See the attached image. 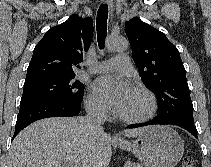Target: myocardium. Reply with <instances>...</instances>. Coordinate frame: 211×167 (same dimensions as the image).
I'll return each mask as SVG.
<instances>
[{"label":"myocardium","instance_id":"1","mask_svg":"<svg viewBox=\"0 0 211 167\" xmlns=\"http://www.w3.org/2000/svg\"><path fill=\"white\" fill-rule=\"evenodd\" d=\"M132 90L133 92L138 93L145 97L147 101V105H148L147 112L144 115L138 116V117H128V116H124L120 114L119 118L123 122L130 123V124H138V123L147 122L154 116L156 112V108H157L156 98L154 94L146 87L138 85V86H135Z\"/></svg>","mask_w":211,"mask_h":167}]
</instances>
